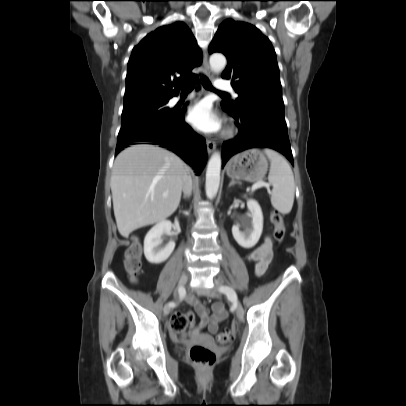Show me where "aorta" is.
Masks as SVG:
<instances>
[{
  "label": "aorta",
  "mask_w": 406,
  "mask_h": 406,
  "mask_svg": "<svg viewBox=\"0 0 406 406\" xmlns=\"http://www.w3.org/2000/svg\"><path fill=\"white\" fill-rule=\"evenodd\" d=\"M210 66L215 73L221 72L226 66V58L220 53L212 54L210 57ZM221 155L214 153L207 165L206 171V196L213 199L218 192L220 184V171H221Z\"/></svg>",
  "instance_id": "aorta-1"
}]
</instances>
